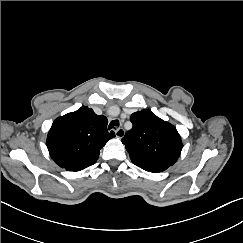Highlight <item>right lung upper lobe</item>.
I'll return each instance as SVG.
<instances>
[{
	"label": "right lung upper lobe",
	"mask_w": 243,
	"mask_h": 243,
	"mask_svg": "<svg viewBox=\"0 0 243 243\" xmlns=\"http://www.w3.org/2000/svg\"><path fill=\"white\" fill-rule=\"evenodd\" d=\"M108 120L83 106L75 112L57 118L47 136L51 158L68 171H80L93 165L100 149L115 137L107 130Z\"/></svg>",
	"instance_id": "obj_1"
}]
</instances>
